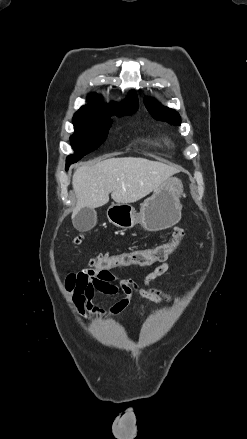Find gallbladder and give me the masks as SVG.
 Returning a JSON list of instances; mask_svg holds the SVG:
<instances>
[{
  "label": "gallbladder",
  "mask_w": 247,
  "mask_h": 439,
  "mask_svg": "<svg viewBox=\"0 0 247 439\" xmlns=\"http://www.w3.org/2000/svg\"><path fill=\"white\" fill-rule=\"evenodd\" d=\"M97 221V213L94 209L82 208L73 218V226L81 232L91 230Z\"/></svg>",
  "instance_id": "obj_1"
}]
</instances>
